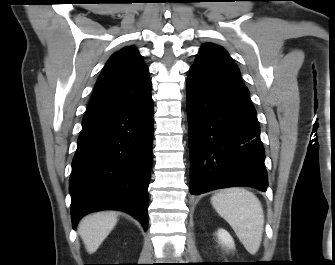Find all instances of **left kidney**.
<instances>
[{"label":"left kidney","mask_w":335,"mask_h":265,"mask_svg":"<svg viewBox=\"0 0 335 265\" xmlns=\"http://www.w3.org/2000/svg\"><path fill=\"white\" fill-rule=\"evenodd\" d=\"M218 241L222 247L235 249V244L232 236L224 229H219L217 232Z\"/></svg>","instance_id":"1"}]
</instances>
